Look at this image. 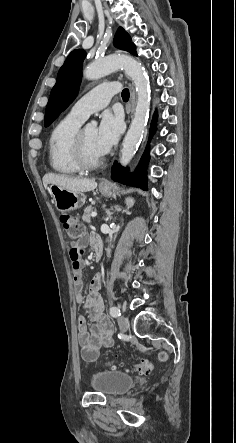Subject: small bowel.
<instances>
[{
    "label": "small bowel",
    "mask_w": 236,
    "mask_h": 443,
    "mask_svg": "<svg viewBox=\"0 0 236 443\" xmlns=\"http://www.w3.org/2000/svg\"><path fill=\"white\" fill-rule=\"evenodd\" d=\"M86 243H89L94 250L102 245L100 239L96 235H90L88 238L82 236L79 245L77 246V249L81 253ZM80 263L81 269L79 271L74 270L75 300L87 311L88 317L92 321L93 326L91 329L88 328L87 319L84 316L78 318V342L81 346L83 357H85L86 354H89V361H94L97 359L102 347L112 346V325L103 313V299L100 294L102 275L98 274L92 279L88 288L87 296L84 297L83 267L81 259Z\"/></svg>",
    "instance_id": "small-bowel-1"
}]
</instances>
